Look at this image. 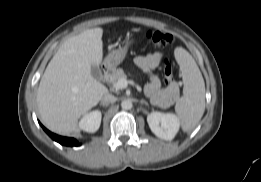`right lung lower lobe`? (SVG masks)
<instances>
[{
	"label": "right lung lower lobe",
	"instance_id": "right-lung-lower-lobe-1",
	"mask_svg": "<svg viewBox=\"0 0 261 182\" xmlns=\"http://www.w3.org/2000/svg\"><path fill=\"white\" fill-rule=\"evenodd\" d=\"M42 128L44 129V131L55 141H57L58 143H60L61 145H66V146H79L81 145L80 143H78L74 138H68V137H62V136H58L54 133H51L49 130H47L42 124H41Z\"/></svg>",
	"mask_w": 261,
	"mask_h": 182
}]
</instances>
